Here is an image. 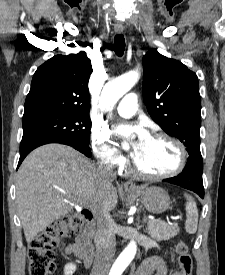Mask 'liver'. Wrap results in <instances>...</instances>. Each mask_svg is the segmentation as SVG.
<instances>
[{
	"mask_svg": "<svg viewBox=\"0 0 225 275\" xmlns=\"http://www.w3.org/2000/svg\"><path fill=\"white\" fill-rule=\"evenodd\" d=\"M117 191L91 160L62 144L32 151L17 172L16 203L28 244L73 204L107 211L116 207Z\"/></svg>",
	"mask_w": 225,
	"mask_h": 275,
	"instance_id": "6515ba94",
	"label": "liver"
}]
</instances>
